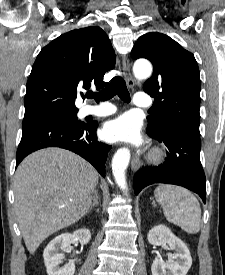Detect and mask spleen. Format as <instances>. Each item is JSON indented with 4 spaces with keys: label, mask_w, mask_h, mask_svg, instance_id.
<instances>
[{
    "label": "spleen",
    "mask_w": 225,
    "mask_h": 275,
    "mask_svg": "<svg viewBox=\"0 0 225 275\" xmlns=\"http://www.w3.org/2000/svg\"><path fill=\"white\" fill-rule=\"evenodd\" d=\"M167 221L190 234L200 230L201 208L197 198L187 189L174 185H160L154 192Z\"/></svg>",
    "instance_id": "obj_1"
}]
</instances>
